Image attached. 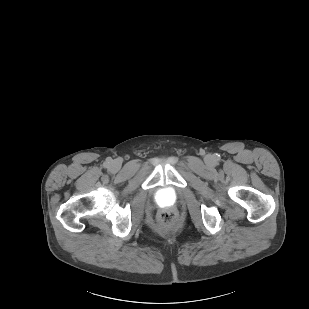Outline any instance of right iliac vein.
Here are the masks:
<instances>
[{"label":"right iliac vein","mask_w":309,"mask_h":309,"mask_svg":"<svg viewBox=\"0 0 309 309\" xmlns=\"http://www.w3.org/2000/svg\"><path fill=\"white\" fill-rule=\"evenodd\" d=\"M120 168H121V163L119 161L115 160V161L111 162L110 169L113 172H117Z\"/></svg>","instance_id":"right-iliac-vein-1"}]
</instances>
